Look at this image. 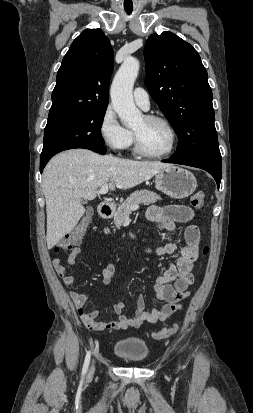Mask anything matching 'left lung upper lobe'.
Returning <instances> with one entry per match:
<instances>
[{"label": "left lung upper lobe", "mask_w": 253, "mask_h": 413, "mask_svg": "<svg viewBox=\"0 0 253 413\" xmlns=\"http://www.w3.org/2000/svg\"><path fill=\"white\" fill-rule=\"evenodd\" d=\"M145 84L178 135L174 158H221L212 90L198 52L175 34L154 33L144 48Z\"/></svg>", "instance_id": "1"}]
</instances>
